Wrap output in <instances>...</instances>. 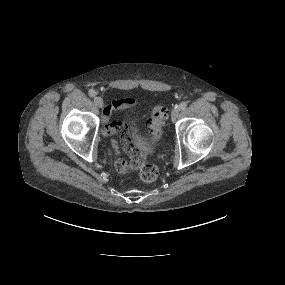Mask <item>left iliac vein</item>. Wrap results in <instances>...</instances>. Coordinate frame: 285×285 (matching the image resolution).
<instances>
[{"label":"left iliac vein","mask_w":285,"mask_h":285,"mask_svg":"<svg viewBox=\"0 0 285 285\" xmlns=\"http://www.w3.org/2000/svg\"><path fill=\"white\" fill-rule=\"evenodd\" d=\"M180 109L179 108H175L173 109L172 113H171V120L172 122H175L178 115H179Z\"/></svg>","instance_id":"4c4485c4"}]
</instances>
